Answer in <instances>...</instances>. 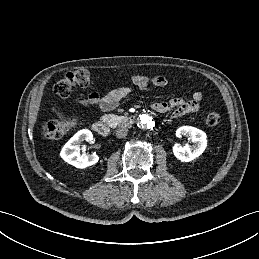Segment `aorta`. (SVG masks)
Wrapping results in <instances>:
<instances>
[{"label":"aorta","mask_w":259,"mask_h":259,"mask_svg":"<svg viewBox=\"0 0 259 259\" xmlns=\"http://www.w3.org/2000/svg\"><path fill=\"white\" fill-rule=\"evenodd\" d=\"M139 125L143 129H152L155 125V122L150 115L144 114L140 117Z\"/></svg>","instance_id":"1"}]
</instances>
